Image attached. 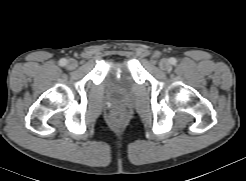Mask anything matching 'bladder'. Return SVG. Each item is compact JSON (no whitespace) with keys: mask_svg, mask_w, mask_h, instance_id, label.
<instances>
[{"mask_svg":"<svg viewBox=\"0 0 246 181\" xmlns=\"http://www.w3.org/2000/svg\"><path fill=\"white\" fill-rule=\"evenodd\" d=\"M130 73H131V66L129 64H126L121 68L118 78L114 81L115 88L118 91H122L130 85L131 83Z\"/></svg>","mask_w":246,"mask_h":181,"instance_id":"obj_1","label":"bladder"}]
</instances>
